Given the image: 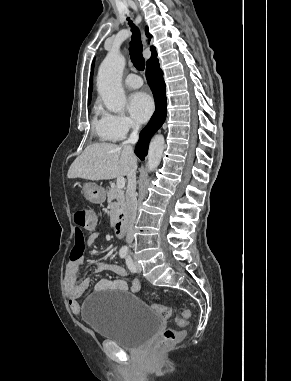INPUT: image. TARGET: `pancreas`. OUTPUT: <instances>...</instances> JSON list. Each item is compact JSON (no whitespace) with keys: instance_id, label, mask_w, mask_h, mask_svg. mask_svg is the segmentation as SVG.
I'll use <instances>...</instances> for the list:
<instances>
[{"instance_id":"obj_1","label":"pancreas","mask_w":291,"mask_h":381,"mask_svg":"<svg viewBox=\"0 0 291 381\" xmlns=\"http://www.w3.org/2000/svg\"><path fill=\"white\" fill-rule=\"evenodd\" d=\"M107 197L108 207L110 209V220L111 224L114 225L118 221L120 211L125 203L124 190L113 186L107 192Z\"/></svg>"}]
</instances>
